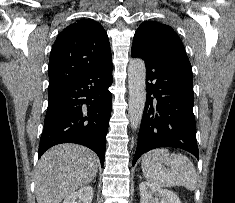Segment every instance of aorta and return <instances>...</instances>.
<instances>
[{"label":"aorta","instance_id":"762f6f07","mask_svg":"<svg viewBox=\"0 0 235 203\" xmlns=\"http://www.w3.org/2000/svg\"><path fill=\"white\" fill-rule=\"evenodd\" d=\"M146 68L143 60L134 58L128 65L129 118L131 127L137 129L142 120L146 102Z\"/></svg>","mask_w":235,"mask_h":203}]
</instances>
